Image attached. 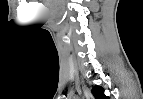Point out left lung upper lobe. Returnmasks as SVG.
Segmentation results:
<instances>
[{
	"mask_svg": "<svg viewBox=\"0 0 143 99\" xmlns=\"http://www.w3.org/2000/svg\"><path fill=\"white\" fill-rule=\"evenodd\" d=\"M91 92L96 99H108V97L103 94L104 90L100 86L93 87Z\"/></svg>",
	"mask_w": 143,
	"mask_h": 99,
	"instance_id": "5c2ea615",
	"label": "left lung upper lobe"
}]
</instances>
